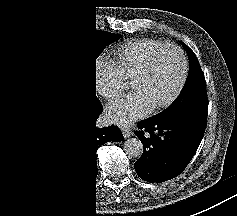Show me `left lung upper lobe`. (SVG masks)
<instances>
[{"instance_id":"5c2ea615","label":"left lung upper lobe","mask_w":237,"mask_h":216,"mask_svg":"<svg viewBox=\"0 0 237 216\" xmlns=\"http://www.w3.org/2000/svg\"><path fill=\"white\" fill-rule=\"evenodd\" d=\"M189 56L190 71L186 83L176 101L158 117L181 121L204 130L207 118L208 99L204 73L195 53L183 43Z\"/></svg>"}]
</instances>
